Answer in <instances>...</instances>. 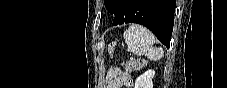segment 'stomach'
Returning a JSON list of instances; mask_svg holds the SVG:
<instances>
[{"instance_id": "obj_1", "label": "stomach", "mask_w": 227, "mask_h": 88, "mask_svg": "<svg viewBox=\"0 0 227 88\" xmlns=\"http://www.w3.org/2000/svg\"><path fill=\"white\" fill-rule=\"evenodd\" d=\"M108 51H109L110 54L113 53V51H114L113 46L110 45L109 48H108Z\"/></svg>"}]
</instances>
